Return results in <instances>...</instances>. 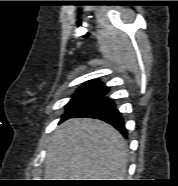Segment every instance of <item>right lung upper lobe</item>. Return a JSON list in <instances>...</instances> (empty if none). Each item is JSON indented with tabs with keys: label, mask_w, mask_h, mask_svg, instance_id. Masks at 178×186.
I'll list each match as a JSON object with an SVG mask.
<instances>
[{
	"label": "right lung upper lobe",
	"mask_w": 178,
	"mask_h": 186,
	"mask_svg": "<svg viewBox=\"0 0 178 186\" xmlns=\"http://www.w3.org/2000/svg\"><path fill=\"white\" fill-rule=\"evenodd\" d=\"M90 85H103V84L101 83V81L96 80V81H88L84 83L83 86H90Z\"/></svg>",
	"instance_id": "1"
}]
</instances>
